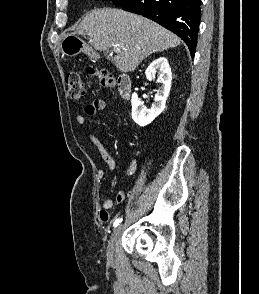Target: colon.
Returning <instances> with one entry per match:
<instances>
[{"mask_svg": "<svg viewBox=\"0 0 259 294\" xmlns=\"http://www.w3.org/2000/svg\"><path fill=\"white\" fill-rule=\"evenodd\" d=\"M88 74L97 78L99 83L105 87H112L115 84L113 75L107 70L88 69ZM67 93L69 98L76 102H82L85 95V85L79 72L71 71L66 76Z\"/></svg>", "mask_w": 259, "mask_h": 294, "instance_id": "1", "label": "colon"}]
</instances>
